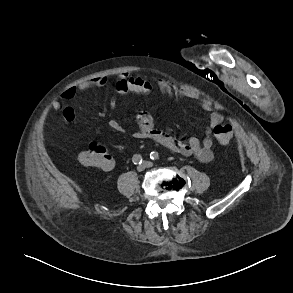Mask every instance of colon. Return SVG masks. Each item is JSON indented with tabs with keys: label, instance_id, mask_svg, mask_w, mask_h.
Returning a JSON list of instances; mask_svg holds the SVG:
<instances>
[{
	"label": "colon",
	"instance_id": "colon-1",
	"mask_svg": "<svg viewBox=\"0 0 293 293\" xmlns=\"http://www.w3.org/2000/svg\"><path fill=\"white\" fill-rule=\"evenodd\" d=\"M214 135L219 143L227 144L230 142L233 129L230 124L224 123L214 127ZM81 164L88 167L105 169L110 166L111 157L106 147L100 143H92L88 148L79 155Z\"/></svg>",
	"mask_w": 293,
	"mask_h": 293
}]
</instances>
